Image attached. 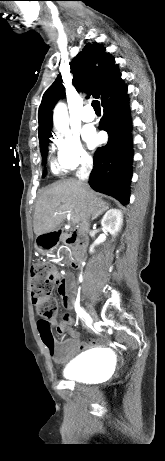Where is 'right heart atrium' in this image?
<instances>
[{
  "instance_id": "obj_1",
  "label": "right heart atrium",
  "mask_w": 165,
  "mask_h": 461,
  "mask_svg": "<svg viewBox=\"0 0 165 461\" xmlns=\"http://www.w3.org/2000/svg\"><path fill=\"white\" fill-rule=\"evenodd\" d=\"M54 143L57 150V163L62 169L74 170L91 163V156L77 135L57 133Z\"/></svg>"
}]
</instances>
